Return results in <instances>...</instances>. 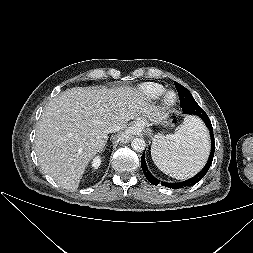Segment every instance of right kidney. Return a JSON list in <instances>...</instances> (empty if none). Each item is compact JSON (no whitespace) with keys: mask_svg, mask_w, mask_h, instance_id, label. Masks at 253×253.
<instances>
[{"mask_svg":"<svg viewBox=\"0 0 253 253\" xmlns=\"http://www.w3.org/2000/svg\"><path fill=\"white\" fill-rule=\"evenodd\" d=\"M100 164H101V159H100V157H99V156L95 157V158L93 159V161H92V167H93L94 169H97V168L100 166Z\"/></svg>","mask_w":253,"mask_h":253,"instance_id":"right-kidney-1","label":"right kidney"}]
</instances>
